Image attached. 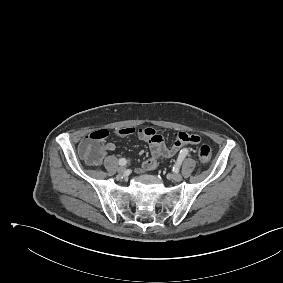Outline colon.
Here are the masks:
<instances>
[{
	"mask_svg": "<svg viewBox=\"0 0 283 283\" xmlns=\"http://www.w3.org/2000/svg\"><path fill=\"white\" fill-rule=\"evenodd\" d=\"M108 136L106 130H97L83 138L79 144V152L81 156L92 165L98 164L104 154L103 141ZM211 148L203 144L198 149V157L200 161L207 164L211 160Z\"/></svg>",
	"mask_w": 283,
	"mask_h": 283,
	"instance_id": "colon-1",
	"label": "colon"
}]
</instances>
